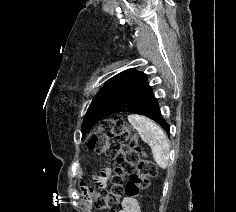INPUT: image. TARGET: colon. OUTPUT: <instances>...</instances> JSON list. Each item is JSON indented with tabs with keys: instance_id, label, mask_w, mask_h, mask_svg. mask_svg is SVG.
Here are the masks:
<instances>
[{
	"instance_id": "obj_1",
	"label": "colon",
	"mask_w": 236,
	"mask_h": 212,
	"mask_svg": "<svg viewBox=\"0 0 236 212\" xmlns=\"http://www.w3.org/2000/svg\"><path fill=\"white\" fill-rule=\"evenodd\" d=\"M87 147L97 154L115 159L117 163L110 187L101 195L90 190L98 209L119 212V198L123 193L122 174L130 175L124 190L129 197H138L141 190L148 187L150 178L156 175L155 164L145 157L137 137L131 134L121 117L103 120Z\"/></svg>"
}]
</instances>
